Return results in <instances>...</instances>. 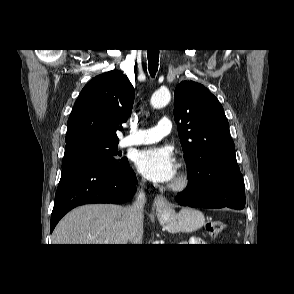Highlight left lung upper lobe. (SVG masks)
Instances as JSON below:
<instances>
[{
	"label": "left lung upper lobe",
	"instance_id": "obj_1",
	"mask_svg": "<svg viewBox=\"0 0 294 294\" xmlns=\"http://www.w3.org/2000/svg\"><path fill=\"white\" fill-rule=\"evenodd\" d=\"M174 103L189 183L201 185L213 173H239L235 145L218 99L202 84L182 81L175 88Z\"/></svg>",
	"mask_w": 294,
	"mask_h": 294
}]
</instances>
